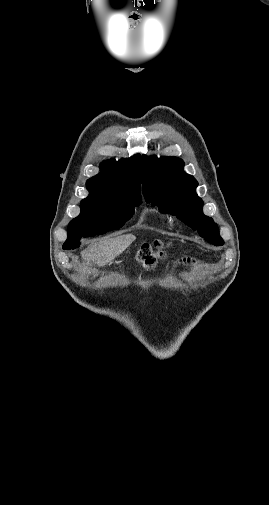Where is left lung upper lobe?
<instances>
[{
    "instance_id": "1",
    "label": "left lung upper lobe",
    "mask_w": 269,
    "mask_h": 505,
    "mask_svg": "<svg viewBox=\"0 0 269 505\" xmlns=\"http://www.w3.org/2000/svg\"><path fill=\"white\" fill-rule=\"evenodd\" d=\"M177 157L142 156V184L146 202L157 205L163 213L175 215L197 230L208 242L224 244L217 224L202 212L203 201L196 194L198 182L183 171Z\"/></svg>"
}]
</instances>
